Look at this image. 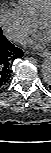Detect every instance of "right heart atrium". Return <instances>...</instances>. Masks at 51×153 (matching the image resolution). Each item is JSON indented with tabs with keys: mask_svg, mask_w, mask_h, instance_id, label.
<instances>
[{
	"mask_svg": "<svg viewBox=\"0 0 51 153\" xmlns=\"http://www.w3.org/2000/svg\"><path fill=\"white\" fill-rule=\"evenodd\" d=\"M0 25L3 33L13 41H20L34 29V23L24 16L17 5L1 6Z\"/></svg>",
	"mask_w": 51,
	"mask_h": 153,
	"instance_id": "d8ad5b80",
	"label": "right heart atrium"
}]
</instances>
